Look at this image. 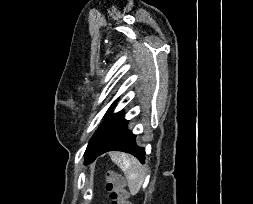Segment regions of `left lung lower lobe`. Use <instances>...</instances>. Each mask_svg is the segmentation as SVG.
<instances>
[{
    "instance_id": "1",
    "label": "left lung lower lobe",
    "mask_w": 253,
    "mask_h": 204,
    "mask_svg": "<svg viewBox=\"0 0 253 204\" xmlns=\"http://www.w3.org/2000/svg\"><path fill=\"white\" fill-rule=\"evenodd\" d=\"M112 109L113 107L106 114L111 113ZM127 123L122 112L108 116L88 144L85 151V163H91L99 155L112 150L130 153L144 163L145 149L136 146V136L127 130Z\"/></svg>"
}]
</instances>
